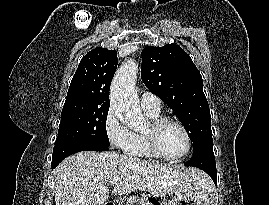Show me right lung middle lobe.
<instances>
[{
	"label": "right lung middle lobe",
	"mask_w": 269,
	"mask_h": 205,
	"mask_svg": "<svg viewBox=\"0 0 269 205\" xmlns=\"http://www.w3.org/2000/svg\"><path fill=\"white\" fill-rule=\"evenodd\" d=\"M109 107H63L55 145L64 142L94 143L109 147L106 120Z\"/></svg>",
	"instance_id": "dd1d6c3e"
}]
</instances>
